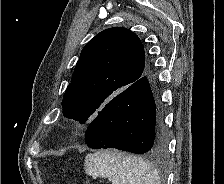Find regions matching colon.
<instances>
[{"instance_id":"obj_1","label":"colon","mask_w":224,"mask_h":184,"mask_svg":"<svg viewBox=\"0 0 224 184\" xmlns=\"http://www.w3.org/2000/svg\"><path fill=\"white\" fill-rule=\"evenodd\" d=\"M72 184H78L76 181H72Z\"/></svg>"}]
</instances>
